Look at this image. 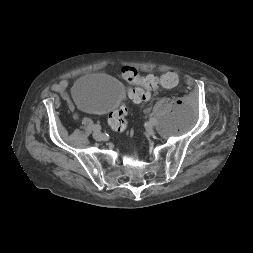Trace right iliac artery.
Returning a JSON list of instances; mask_svg holds the SVG:
<instances>
[{
  "label": "right iliac artery",
  "instance_id": "82829eb1",
  "mask_svg": "<svg viewBox=\"0 0 253 253\" xmlns=\"http://www.w3.org/2000/svg\"><path fill=\"white\" fill-rule=\"evenodd\" d=\"M101 129V127L99 126V125H93V131H95V130H100Z\"/></svg>",
  "mask_w": 253,
  "mask_h": 253
}]
</instances>
